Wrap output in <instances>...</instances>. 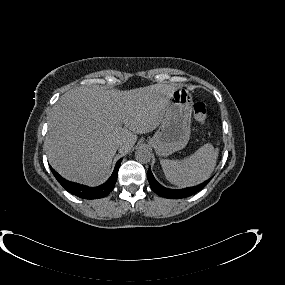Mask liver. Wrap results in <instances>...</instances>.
Wrapping results in <instances>:
<instances>
[{
  "label": "liver",
  "mask_w": 285,
  "mask_h": 285,
  "mask_svg": "<svg viewBox=\"0 0 285 285\" xmlns=\"http://www.w3.org/2000/svg\"><path fill=\"white\" fill-rule=\"evenodd\" d=\"M174 89L167 84L126 91L81 86L66 92L48 117L44 144L51 166L68 180L102 184L110 175L116 144L123 143L119 151L128 152L137 134L156 129Z\"/></svg>",
  "instance_id": "obj_1"
}]
</instances>
